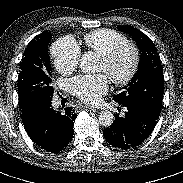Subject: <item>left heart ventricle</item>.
<instances>
[{"label":"left heart ventricle","mask_w":183,"mask_h":183,"mask_svg":"<svg viewBox=\"0 0 183 183\" xmlns=\"http://www.w3.org/2000/svg\"><path fill=\"white\" fill-rule=\"evenodd\" d=\"M132 63V53L124 51L110 66H106L101 60L99 70L105 72L108 76H123L128 72Z\"/></svg>","instance_id":"left-heart-ventricle-1"}]
</instances>
